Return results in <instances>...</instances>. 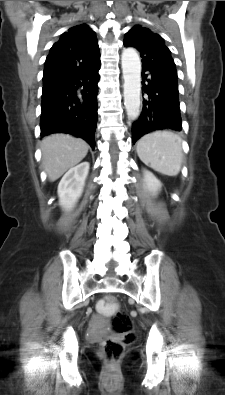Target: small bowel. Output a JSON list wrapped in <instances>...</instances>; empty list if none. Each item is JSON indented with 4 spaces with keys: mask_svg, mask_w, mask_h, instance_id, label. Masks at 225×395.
Masks as SVG:
<instances>
[{
    "mask_svg": "<svg viewBox=\"0 0 225 395\" xmlns=\"http://www.w3.org/2000/svg\"><path fill=\"white\" fill-rule=\"evenodd\" d=\"M122 302L117 300L115 304H107L105 305L104 300H100L97 304L98 310L102 312H107L108 315H118L120 313Z\"/></svg>",
    "mask_w": 225,
    "mask_h": 395,
    "instance_id": "obj_1",
    "label": "small bowel"
}]
</instances>
